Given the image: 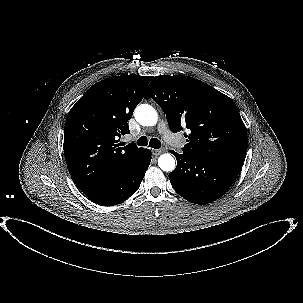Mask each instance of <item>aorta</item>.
Returning a JSON list of instances; mask_svg holds the SVG:
<instances>
[{"mask_svg":"<svg viewBox=\"0 0 303 303\" xmlns=\"http://www.w3.org/2000/svg\"><path fill=\"white\" fill-rule=\"evenodd\" d=\"M134 116L136 121L143 126H154L158 121L156 110L148 104L137 106ZM158 165L163 171H173L175 168V159L169 153L162 154L158 159Z\"/></svg>","mask_w":303,"mask_h":303,"instance_id":"obj_1","label":"aorta"}]
</instances>
